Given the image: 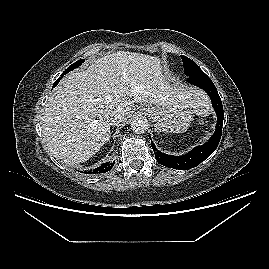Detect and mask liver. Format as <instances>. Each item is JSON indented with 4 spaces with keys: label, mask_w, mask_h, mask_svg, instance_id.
<instances>
[{
    "label": "liver",
    "mask_w": 269,
    "mask_h": 269,
    "mask_svg": "<svg viewBox=\"0 0 269 269\" xmlns=\"http://www.w3.org/2000/svg\"><path fill=\"white\" fill-rule=\"evenodd\" d=\"M134 103L188 105L205 114L209 101L197 88L170 84L159 58L118 51L94 60L86 70L71 72L49 97L42 130L48 151L68 165L87 161L110 137L108 116Z\"/></svg>",
    "instance_id": "obj_1"
}]
</instances>
